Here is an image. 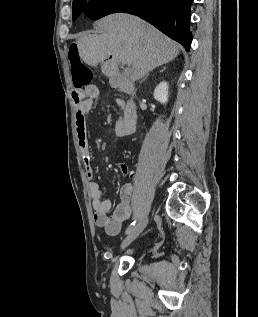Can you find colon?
Masks as SVG:
<instances>
[{
    "label": "colon",
    "mask_w": 258,
    "mask_h": 317,
    "mask_svg": "<svg viewBox=\"0 0 258 317\" xmlns=\"http://www.w3.org/2000/svg\"><path fill=\"white\" fill-rule=\"evenodd\" d=\"M67 55L74 86L79 88L88 86L93 79V71L82 62L77 43L68 46Z\"/></svg>",
    "instance_id": "5ec220e1"
}]
</instances>
